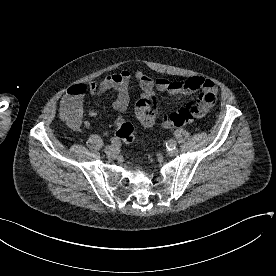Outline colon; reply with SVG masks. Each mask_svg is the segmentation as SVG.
<instances>
[{"label": "colon", "mask_w": 276, "mask_h": 276, "mask_svg": "<svg viewBox=\"0 0 276 276\" xmlns=\"http://www.w3.org/2000/svg\"><path fill=\"white\" fill-rule=\"evenodd\" d=\"M200 108L196 102H189L178 111L169 115L159 116L157 112V99L151 94L147 98H140L137 102V112L142 121L151 126L160 122L167 128H178L192 123L200 116ZM63 116L68 121H75L78 112L75 108H67L63 111ZM116 136L126 145L134 140V128L131 123L124 120L121 116L116 120Z\"/></svg>", "instance_id": "colon-1"}]
</instances>
